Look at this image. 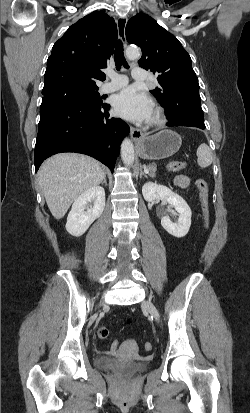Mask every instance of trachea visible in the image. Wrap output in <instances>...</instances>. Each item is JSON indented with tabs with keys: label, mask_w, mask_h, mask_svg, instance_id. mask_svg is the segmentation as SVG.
<instances>
[{
	"label": "trachea",
	"mask_w": 250,
	"mask_h": 413,
	"mask_svg": "<svg viewBox=\"0 0 250 413\" xmlns=\"http://www.w3.org/2000/svg\"><path fill=\"white\" fill-rule=\"evenodd\" d=\"M114 59H115V65H116L117 70H120L121 66H124L125 68H129L128 63L124 57L123 43L121 40H118L116 44L115 52H114Z\"/></svg>",
	"instance_id": "trachea-1"
}]
</instances>
